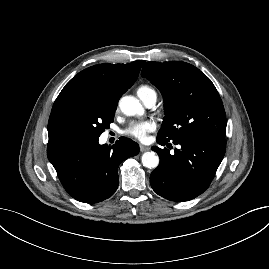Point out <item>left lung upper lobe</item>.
Here are the masks:
<instances>
[{
    "label": "left lung upper lobe",
    "mask_w": 269,
    "mask_h": 269,
    "mask_svg": "<svg viewBox=\"0 0 269 269\" xmlns=\"http://www.w3.org/2000/svg\"><path fill=\"white\" fill-rule=\"evenodd\" d=\"M142 77L151 81L165 102L157 139L176 141L193 136L226 137V114L212 81L186 62H147Z\"/></svg>",
    "instance_id": "5c2ea615"
}]
</instances>
